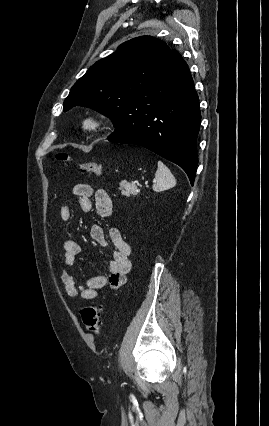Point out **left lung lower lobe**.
I'll return each instance as SVG.
<instances>
[{
    "label": "left lung lower lobe",
    "mask_w": 269,
    "mask_h": 426,
    "mask_svg": "<svg viewBox=\"0 0 269 426\" xmlns=\"http://www.w3.org/2000/svg\"><path fill=\"white\" fill-rule=\"evenodd\" d=\"M200 122L199 98L189 68L173 50L150 87L128 103L123 121L108 140L140 145L174 162L193 185Z\"/></svg>",
    "instance_id": "0a47b994"
}]
</instances>
